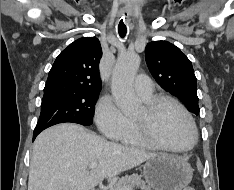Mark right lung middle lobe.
I'll return each instance as SVG.
<instances>
[{"mask_svg":"<svg viewBox=\"0 0 234 190\" xmlns=\"http://www.w3.org/2000/svg\"><path fill=\"white\" fill-rule=\"evenodd\" d=\"M98 94L99 91L44 88L41 113L34 132L64 122L91 125Z\"/></svg>","mask_w":234,"mask_h":190,"instance_id":"1","label":"right lung middle lobe"}]
</instances>
